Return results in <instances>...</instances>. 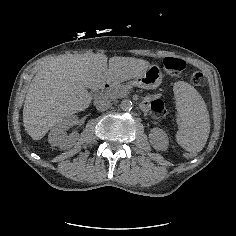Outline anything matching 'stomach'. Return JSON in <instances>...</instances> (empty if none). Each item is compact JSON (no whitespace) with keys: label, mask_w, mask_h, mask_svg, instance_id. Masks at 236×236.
Instances as JSON below:
<instances>
[{"label":"stomach","mask_w":236,"mask_h":236,"mask_svg":"<svg viewBox=\"0 0 236 236\" xmlns=\"http://www.w3.org/2000/svg\"><path fill=\"white\" fill-rule=\"evenodd\" d=\"M162 82V72L156 65L150 66L144 73L134 79V84L144 89H155Z\"/></svg>","instance_id":"stomach-1"}]
</instances>
